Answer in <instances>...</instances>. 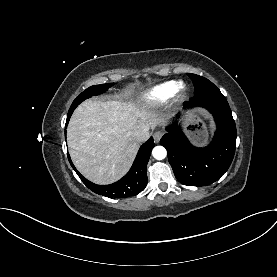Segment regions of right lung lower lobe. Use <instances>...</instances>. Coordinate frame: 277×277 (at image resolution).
Instances as JSON below:
<instances>
[{"mask_svg": "<svg viewBox=\"0 0 277 277\" xmlns=\"http://www.w3.org/2000/svg\"><path fill=\"white\" fill-rule=\"evenodd\" d=\"M69 120L66 121V127ZM155 146L153 138L146 141L138 151L130 171L119 181L110 185H97L84 178L73 165L68 154L69 162L82 182L94 193L110 198L134 196L143 191L147 185L146 167L151 151Z\"/></svg>", "mask_w": 277, "mask_h": 277, "instance_id": "obj_1", "label": "right lung lower lobe"}]
</instances>
